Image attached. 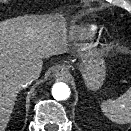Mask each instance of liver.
Masks as SVG:
<instances>
[{
  "label": "liver",
  "instance_id": "liver-1",
  "mask_svg": "<svg viewBox=\"0 0 131 131\" xmlns=\"http://www.w3.org/2000/svg\"><path fill=\"white\" fill-rule=\"evenodd\" d=\"M68 33L64 20L15 18L0 23V131L10 120L23 73L39 76L43 59L65 51Z\"/></svg>",
  "mask_w": 131,
  "mask_h": 131
}]
</instances>
